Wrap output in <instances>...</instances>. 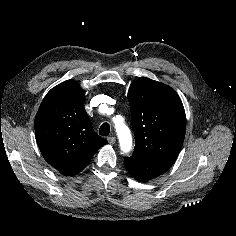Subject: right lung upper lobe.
Listing matches in <instances>:
<instances>
[{"label": "right lung upper lobe", "mask_w": 236, "mask_h": 236, "mask_svg": "<svg viewBox=\"0 0 236 236\" xmlns=\"http://www.w3.org/2000/svg\"><path fill=\"white\" fill-rule=\"evenodd\" d=\"M34 128L44 159L66 176L80 172L107 143L94 132L84 109L83 91L74 80L64 81L47 93Z\"/></svg>", "instance_id": "obj_1"}]
</instances>
